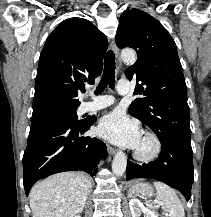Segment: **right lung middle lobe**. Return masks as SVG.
Segmentation results:
<instances>
[{
    "mask_svg": "<svg viewBox=\"0 0 211 217\" xmlns=\"http://www.w3.org/2000/svg\"><path fill=\"white\" fill-rule=\"evenodd\" d=\"M77 109H70L64 111H57L51 112L41 117L31 119L32 123H45V122H59V123H66V124H79V121L76 114Z\"/></svg>",
    "mask_w": 211,
    "mask_h": 217,
    "instance_id": "right-lung-middle-lobe-1",
    "label": "right lung middle lobe"
}]
</instances>
